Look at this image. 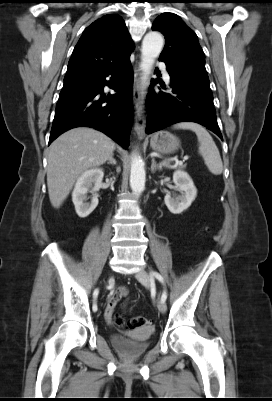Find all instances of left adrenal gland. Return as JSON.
I'll use <instances>...</instances> for the list:
<instances>
[{"label": "left adrenal gland", "instance_id": "obj_1", "mask_svg": "<svg viewBox=\"0 0 272 401\" xmlns=\"http://www.w3.org/2000/svg\"><path fill=\"white\" fill-rule=\"evenodd\" d=\"M157 170H159V171L162 170V166H161V165H158V164L156 163L155 159L152 158L151 172H152V173H155V171H157Z\"/></svg>", "mask_w": 272, "mask_h": 401}]
</instances>
